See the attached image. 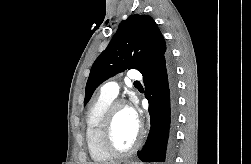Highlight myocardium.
<instances>
[{
    "label": "myocardium",
    "instance_id": "obj_1",
    "mask_svg": "<svg viewBox=\"0 0 251 164\" xmlns=\"http://www.w3.org/2000/svg\"><path fill=\"white\" fill-rule=\"evenodd\" d=\"M125 107V102L121 100L113 101L107 109L101 129V144L104 150L114 157H123L133 154L138 150L142 142V129L138 125L137 138L134 144L128 149H119L113 139L114 121L119 108Z\"/></svg>",
    "mask_w": 251,
    "mask_h": 164
}]
</instances>
